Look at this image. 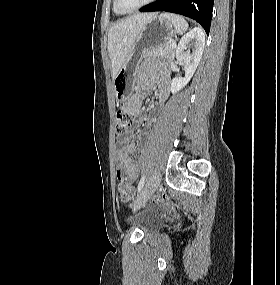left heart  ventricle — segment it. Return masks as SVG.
<instances>
[{"label":"left heart ventricle","instance_id":"obj_1","mask_svg":"<svg viewBox=\"0 0 280 285\" xmlns=\"http://www.w3.org/2000/svg\"><path fill=\"white\" fill-rule=\"evenodd\" d=\"M144 1L145 0H120V4L125 9H131L140 5Z\"/></svg>","mask_w":280,"mask_h":285}]
</instances>
